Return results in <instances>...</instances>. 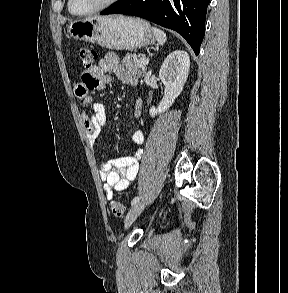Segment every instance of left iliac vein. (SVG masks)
<instances>
[{"label": "left iliac vein", "instance_id": "1", "mask_svg": "<svg viewBox=\"0 0 288 293\" xmlns=\"http://www.w3.org/2000/svg\"><path fill=\"white\" fill-rule=\"evenodd\" d=\"M148 201L137 202L132 206L125 219V227H129L137 216L143 211Z\"/></svg>", "mask_w": 288, "mask_h": 293}]
</instances>
